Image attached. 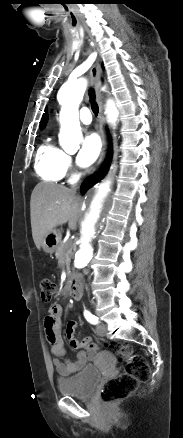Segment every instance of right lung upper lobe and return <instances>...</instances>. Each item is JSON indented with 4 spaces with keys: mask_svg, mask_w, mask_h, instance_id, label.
<instances>
[{
    "mask_svg": "<svg viewBox=\"0 0 183 438\" xmlns=\"http://www.w3.org/2000/svg\"><path fill=\"white\" fill-rule=\"evenodd\" d=\"M46 120H47V114L45 113V114L43 115V117H42L41 122H40V127H41V128H43V127L45 126Z\"/></svg>",
    "mask_w": 183,
    "mask_h": 438,
    "instance_id": "cb5924a9",
    "label": "right lung upper lobe"
}]
</instances>
